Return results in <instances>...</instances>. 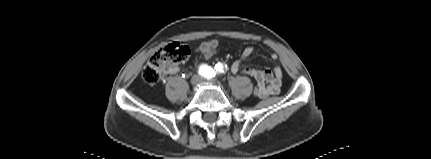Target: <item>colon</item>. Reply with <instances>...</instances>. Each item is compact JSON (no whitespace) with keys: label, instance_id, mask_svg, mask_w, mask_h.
<instances>
[{"label":"colon","instance_id":"5ec220e1","mask_svg":"<svg viewBox=\"0 0 431 159\" xmlns=\"http://www.w3.org/2000/svg\"><path fill=\"white\" fill-rule=\"evenodd\" d=\"M198 53L213 56L221 55V50L214 48H198ZM190 54V49L179 43L169 44L156 51L149 59L147 65L142 72L143 80L148 84H156L161 79L162 75L171 67L185 62ZM261 89L257 86L251 87V95L254 99L260 96Z\"/></svg>","mask_w":431,"mask_h":159}]
</instances>
